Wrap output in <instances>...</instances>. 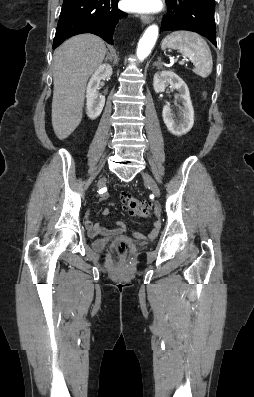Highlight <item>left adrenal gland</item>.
Returning <instances> with one entry per match:
<instances>
[{"label": "left adrenal gland", "mask_w": 254, "mask_h": 397, "mask_svg": "<svg viewBox=\"0 0 254 397\" xmlns=\"http://www.w3.org/2000/svg\"><path fill=\"white\" fill-rule=\"evenodd\" d=\"M156 66L158 69L162 68L161 57H158V61L153 63V67Z\"/></svg>", "instance_id": "a2214340"}]
</instances>
